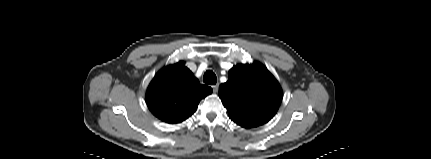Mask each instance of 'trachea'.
Listing matches in <instances>:
<instances>
[{
    "label": "trachea",
    "mask_w": 431,
    "mask_h": 159,
    "mask_svg": "<svg viewBox=\"0 0 431 159\" xmlns=\"http://www.w3.org/2000/svg\"><path fill=\"white\" fill-rule=\"evenodd\" d=\"M203 82L209 85H215L217 77L212 70H207L203 76Z\"/></svg>",
    "instance_id": "obj_1"
}]
</instances>
